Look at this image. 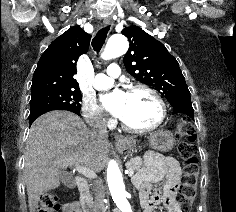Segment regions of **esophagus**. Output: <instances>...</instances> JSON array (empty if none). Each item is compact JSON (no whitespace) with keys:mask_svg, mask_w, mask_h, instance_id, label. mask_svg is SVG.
I'll list each match as a JSON object with an SVG mask.
<instances>
[{"mask_svg":"<svg viewBox=\"0 0 236 212\" xmlns=\"http://www.w3.org/2000/svg\"><path fill=\"white\" fill-rule=\"evenodd\" d=\"M112 25V18L111 17H105L103 19V26H110ZM115 141L116 143L120 144V143H124V142H127L128 139L124 136H121V135H115Z\"/></svg>","mask_w":236,"mask_h":212,"instance_id":"esophagus-1","label":"esophagus"}]
</instances>
